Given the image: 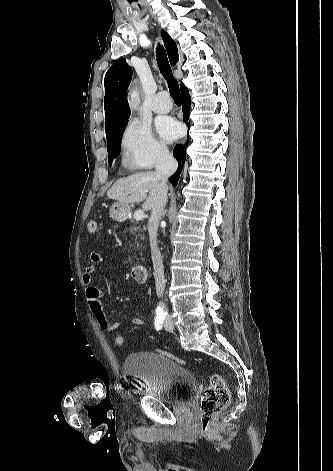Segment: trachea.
Returning <instances> with one entry per match:
<instances>
[{"mask_svg":"<svg viewBox=\"0 0 333 471\" xmlns=\"http://www.w3.org/2000/svg\"><path fill=\"white\" fill-rule=\"evenodd\" d=\"M157 64L163 77L166 79L169 92L175 102H180V91L178 81L172 74L171 67L168 62L167 54L163 46L158 45L156 48Z\"/></svg>","mask_w":333,"mask_h":471,"instance_id":"1","label":"trachea"}]
</instances>
